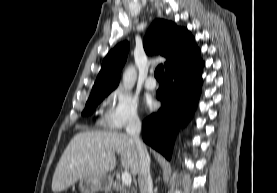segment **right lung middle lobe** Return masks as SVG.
Returning <instances> with one entry per match:
<instances>
[{
	"label": "right lung middle lobe",
	"instance_id": "right-lung-middle-lobe-1",
	"mask_svg": "<svg viewBox=\"0 0 277 193\" xmlns=\"http://www.w3.org/2000/svg\"><path fill=\"white\" fill-rule=\"evenodd\" d=\"M111 91L97 92L90 95L82 115L91 114L95 107L110 93Z\"/></svg>",
	"mask_w": 277,
	"mask_h": 193
}]
</instances>
